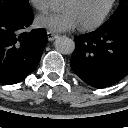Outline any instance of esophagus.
<instances>
[{
    "mask_svg": "<svg viewBox=\"0 0 128 128\" xmlns=\"http://www.w3.org/2000/svg\"><path fill=\"white\" fill-rule=\"evenodd\" d=\"M47 37H48L49 41H53L54 39H56L58 37V35L53 33V32L48 31L47 32Z\"/></svg>",
    "mask_w": 128,
    "mask_h": 128,
    "instance_id": "esophagus-1",
    "label": "esophagus"
}]
</instances>
